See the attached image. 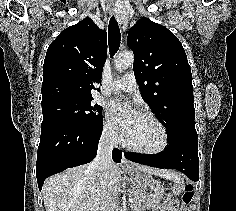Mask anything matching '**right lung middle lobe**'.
<instances>
[{
  "label": "right lung middle lobe",
  "instance_id": "dd1d6c3e",
  "mask_svg": "<svg viewBox=\"0 0 236 211\" xmlns=\"http://www.w3.org/2000/svg\"><path fill=\"white\" fill-rule=\"evenodd\" d=\"M93 98H59L42 104L43 122L62 121L87 128H101L102 107Z\"/></svg>",
  "mask_w": 236,
  "mask_h": 211
}]
</instances>
